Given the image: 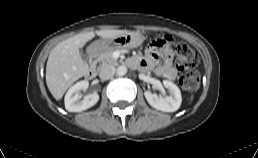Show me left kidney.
<instances>
[{
	"label": "left kidney",
	"mask_w": 258,
	"mask_h": 158,
	"mask_svg": "<svg viewBox=\"0 0 258 158\" xmlns=\"http://www.w3.org/2000/svg\"><path fill=\"white\" fill-rule=\"evenodd\" d=\"M163 85L170 91L169 96L162 97L150 91H145V98L147 102L157 110H161L164 112H175L181 106V91L178 86L171 81L164 80Z\"/></svg>",
	"instance_id": "obj_1"
}]
</instances>
